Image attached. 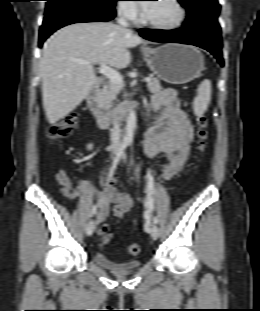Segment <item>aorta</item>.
Masks as SVG:
<instances>
[{
	"label": "aorta",
	"mask_w": 260,
	"mask_h": 311,
	"mask_svg": "<svg viewBox=\"0 0 260 311\" xmlns=\"http://www.w3.org/2000/svg\"><path fill=\"white\" fill-rule=\"evenodd\" d=\"M135 129H136V113L134 110H132L127 118L126 132L124 135V140L126 142H132Z\"/></svg>",
	"instance_id": "obj_1"
}]
</instances>
